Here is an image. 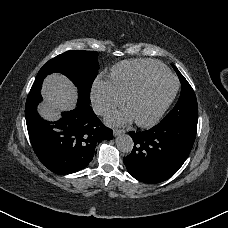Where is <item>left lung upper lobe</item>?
Returning <instances> with one entry per match:
<instances>
[{
	"instance_id": "1",
	"label": "left lung upper lobe",
	"mask_w": 228,
	"mask_h": 228,
	"mask_svg": "<svg viewBox=\"0 0 228 228\" xmlns=\"http://www.w3.org/2000/svg\"><path fill=\"white\" fill-rule=\"evenodd\" d=\"M176 71L181 82V95L175 107L163 118L159 123L161 126H193L197 128L198 122V106L195 93L179 72V70L172 65Z\"/></svg>"
}]
</instances>
